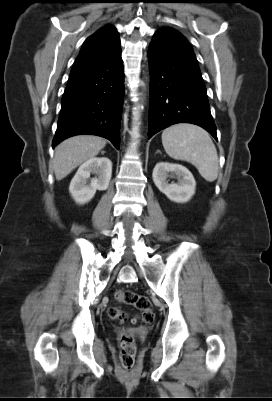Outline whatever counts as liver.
<instances>
[{"instance_id": "1", "label": "liver", "mask_w": 272, "mask_h": 401, "mask_svg": "<svg viewBox=\"0 0 272 401\" xmlns=\"http://www.w3.org/2000/svg\"><path fill=\"white\" fill-rule=\"evenodd\" d=\"M105 145V139L94 135H77L61 142L53 158L56 179L62 180L76 167L94 158Z\"/></svg>"}]
</instances>
